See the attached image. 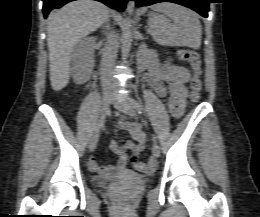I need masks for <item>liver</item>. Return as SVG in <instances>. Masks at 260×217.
<instances>
[{"instance_id":"6515ba94","label":"liver","mask_w":260,"mask_h":217,"mask_svg":"<svg viewBox=\"0 0 260 217\" xmlns=\"http://www.w3.org/2000/svg\"><path fill=\"white\" fill-rule=\"evenodd\" d=\"M108 19V8L94 0L73 1L50 13L47 44L53 90L60 91L69 83L70 60L75 45Z\"/></svg>"}]
</instances>
